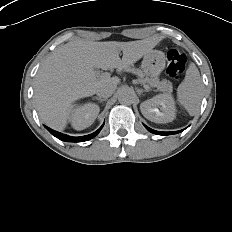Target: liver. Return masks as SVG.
Instances as JSON below:
<instances>
[{
  "label": "liver",
  "instance_id": "6515ba94",
  "mask_svg": "<svg viewBox=\"0 0 232 232\" xmlns=\"http://www.w3.org/2000/svg\"><path fill=\"white\" fill-rule=\"evenodd\" d=\"M157 43L154 38L131 42L76 38L66 43L44 61L36 75L34 98L40 120L54 130H64L73 103L94 95L103 81L111 80L98 77L95 68L123 70Z\"/></svg>",
  "mask_w": 232,
  "mask_h": 232
}]
</instances>
